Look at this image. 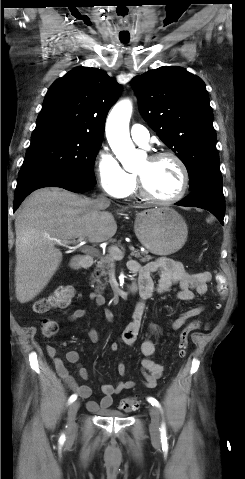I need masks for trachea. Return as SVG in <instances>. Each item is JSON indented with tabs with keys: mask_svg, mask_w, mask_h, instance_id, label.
Listing matches in <instances>:
<instances>
[{
	"mask_svg": "<svg viewBox=\"0 0 245 479\" xmlns=\"http://www.w3.org/2000/svg\"><path fill=\"white\" fill-rule=\"evenodd\" d=\"M124 44H126L128 41H122Z\"/></svg>",
	"mask_w": 245,
	"mask_h": 479,
	"instance_id": "obj_1",
	"label": "trachea"
}]
</instances>
